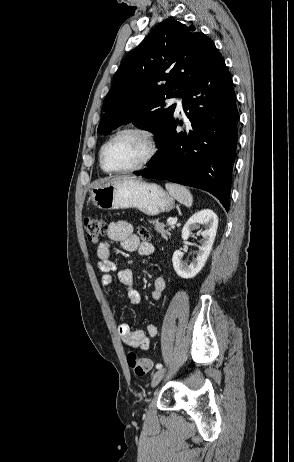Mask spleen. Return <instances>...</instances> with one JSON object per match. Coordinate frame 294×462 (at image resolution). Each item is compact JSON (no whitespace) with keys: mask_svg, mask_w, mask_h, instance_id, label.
Listing matches in <instances>:
<instances>
[{"mask_svg":"<svg viewBox=\"0 0 294 462\" xmlns=\"http://www.w3.org/2000/svg\"><path fill=\"white\" fill-rule=\"evenodd\" d=\"M165 187L168 193L177 201L184 204L186 207L192 206L193 197L186 187L172 183H167Z\"/></svg>","mask_w":294,"mask_h":462,"instance_id":"1","label":"spleen"}]
</instances>
